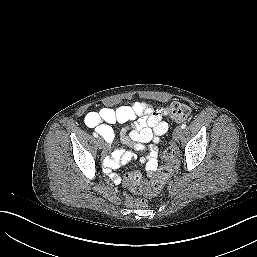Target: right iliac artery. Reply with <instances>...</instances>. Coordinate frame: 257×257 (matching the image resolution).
<instances>
[{"instance_id": "obj_1", "label": "right iliac artery", "mask_w": 257, "mask_h": 257, "mask_svg": "<svg viewBox=\"0 0 257 257\" xmlns=\"http://www.w3.org/2000/svg\"><path fill=\"white\" fill-rule=\"evenodd\" d=\"M93 136L97 138V137H98V134L94 132V133H93Z\"/></svg>"}]
</instances>
